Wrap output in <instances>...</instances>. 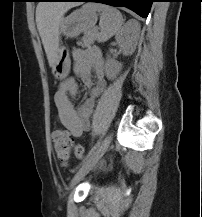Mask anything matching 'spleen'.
Returning <instances> with one entry per match:
<instances>
[{
    "label": "spleen",
    "mask_w": 202,
    "mask_h": 217,
    "mask_svg": "<svg viewBox=\"0 0 202 217\" xmlns=\"http://www.w3.org/2000/svg\"><path fill=\"white\" fill-rule=\"evenodd\" d=\"M85 6L92 10L101 12L99 22L100 33L98 34V40L100 42L108 40L121 30L123 18L116 8L103 4H87Z\"/></svg>",
    "instance_id": "1"
}]
</instances>
